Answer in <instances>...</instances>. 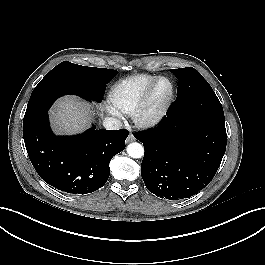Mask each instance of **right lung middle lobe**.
<instances>
[{
	"instance_id": "right-lung-middle-lobe-1",
	"label": "right lung middle lobe",
	"mask_w": 265,
	"mask_h": 265,
	"mask_svg": "<svg viewBox=\"0 0 265 265\" xmlns=\"http://www.w3.org/2000/svg\"><path fill=\"white\" fill-rule=\"evenodd\" d=\"M116 70L81 66L64 61L48 72L34 88L23 122L47 111L60 96L75 94L88 100L101 101L105 85Z\"/></svg>"
}]
</instances>
